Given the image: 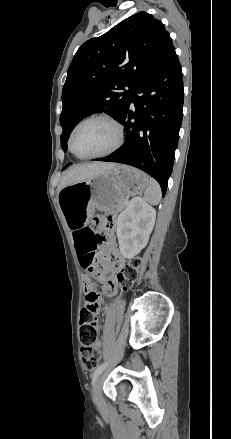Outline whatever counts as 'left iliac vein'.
I'll return each mask as SVG.
<instances>
[{"label":"left iliac vein","instance_id":"left-iliac-vein-1","mask_svg":"<svg viewBox=\"0 0 231 439\" xmlns=\"http://www.w3.org/2000/svg\"><path fill=\"white\" fill-rule=\"evenodd\" d=\"M100 385H101V382L99 379L94 387L95 399H96V402H97V405L99 408L103 407V405H104V400H103V398L101 396V392H100Z\"/></svg>","mask_w":231,"mask_h":439}]
</instances>
